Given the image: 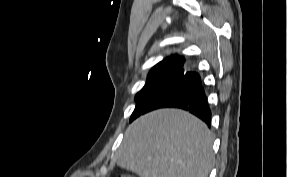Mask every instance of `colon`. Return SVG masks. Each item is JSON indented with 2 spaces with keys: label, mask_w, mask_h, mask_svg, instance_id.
I'll use <instances>...</instances> for the list:
<instances>
[{
  "label": "colon",
  "mask_w": 287,
  "mask_h": 177,
  "mask_svg": "<svg viewBox=\"0 0 287 177\" xmlns=\"http://www.w3.org/2000/svg\"><path fill=\"white\" fill-rule=\"evenodd\" d=\"M118 177H132V176H129V175H120Z\"/></svg>",
  "instance_id": "5ec220e1"
}]
</instances>
